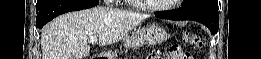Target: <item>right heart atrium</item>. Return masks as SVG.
<instances>
[{"mask_svg":"<svg viewBox=\"0 0 261 59\" xmlns=\"http://www.w3.org/2000/svg\"><path fill=\"white\" fill-rule=\"evenodd\" d=\"M105 2H106L107 4H110V3H114L115 0H106Z\"/></svg>","mask_w":261,"mask_h":59,"instance_id":"obj_1","label":"right heart atrium"}]
</instances>
